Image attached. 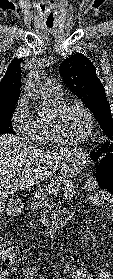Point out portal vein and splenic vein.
Masks as SVG:
<instances>
[{
    "instance_id": "18ae733b",
    "label": "portal vein and splenic vein",
    "mask_w": 113,
    "mask_h": 279,
    "mask_svg": "<svg viewBox=\"0 0 113 279\" xmlns=\"http://www.w3.org/2000/svg\"><path fill=\"white\" fill-rule=\"evenodd\" d=\"M18 174H20V171H18ZM55 194H57V192L55 191Z\"/></svg>"
}]
</instances>
